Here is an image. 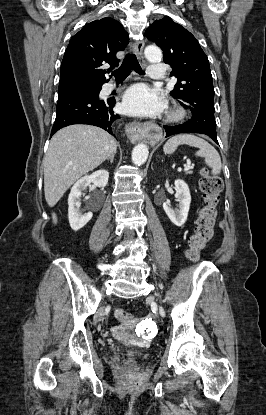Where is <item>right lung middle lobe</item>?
<instances>
[{
	"label": "right lung middle lobe",
	"mask_w": 266,
	"mask_h": 415,
	"mask_svg": "<svg viewBox=\"0 0 266 415\" xmlns=\"http://www.w3.org/2000/svg\"><path fill=\"white\" fill-rule=\"evenodd\" d=\"M100 90H101V87L82 89V90H77V91L66 93V94H61L59 95V97L73 96V95H89V94L98 93L100 92Z\"/></svg>",
	"instance_id": "obj_1"
}]
</instances>
